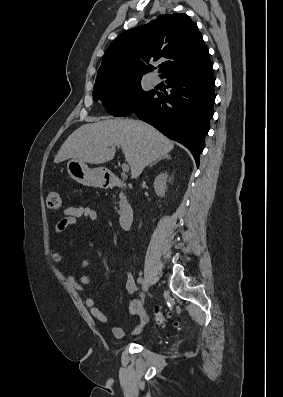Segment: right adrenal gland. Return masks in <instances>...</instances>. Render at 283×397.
Returning <instances> with one entry per match:
<instances>
[{
    "label": "right adrenal gland",
    "instance_id": "2a0ac1e0",
    "mask_svg": "<svg viewBox=\"0 0 283 397\" xmlns=\"http://www.w3.org/2000/svg\"><path fill=\"white\" fill-rule=\"evenodd\" d=\"M162 159H171V157H170L168 154H167V155H164V156L158 158L156 161H154L149 167H152L153 165L157 164V163H158L159 161H161Z\"/></svg>",
    "mask_w": 283,
    "mask_h": 397
}]
</instances>
